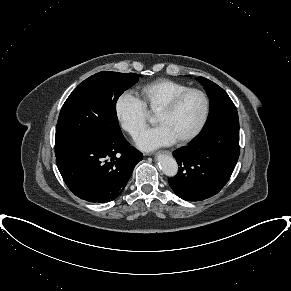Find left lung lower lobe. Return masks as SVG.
<instances>
[{
    "label": "left lung lower lobe",
    "instance_id": "obj_1",
    "mask_svg": "<svg viewBox=\"0 0 291 291\" xmlns=\"http://www.w3.org/2000/svg\"><path fill=\"white\" fill-rule=\"evenodd\" d=\"M239 153V129H220L193 139L188 146L174 152L179 170L168 182L184 200L209 198L227 183Z\"/></svg>",
    "mask_w": 291,
    "mask_h": 291
}]
</instances>
